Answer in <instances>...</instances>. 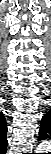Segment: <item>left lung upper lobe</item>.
<instances>
[{
  "label": "left lung upper lobe",
  "instance_id": "left-lung-upper-lobe-1",
  "mask_svg": "<svg viewBox=\"0 0 51 154\" xmlns=\"http://www.w3.org/2000/svg\"><path fill=\"white\" fill-rule=\"evenodd\" d=\"M43 121H44V117H43V119H42V123H43ZM42 123H41V125H42ZM41 129H42V128H41ZM42 132H43V130L39 132V140L42 139V136H41V135H43Z\"/></svg>",
  "mask_w": 51,
  "mask_h": 154
}]
</instances>
